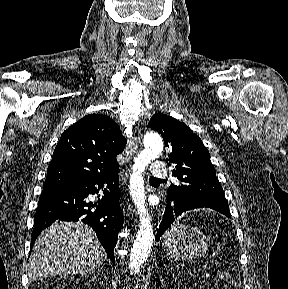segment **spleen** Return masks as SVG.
Segmentation results:
<instances>
[{
    "label": "spleen",
    "mask_w": 288,
    "mask_h": 289,
    "mask_svg": "<svg viewBox=\"0 0 288 289\" xmlns=\"http://www.w3.org/2000/svg\"><path fill=\"white\" fill-rule=\"evenodd\" d=\"M175 230H176V226L171 227V228L167 231L166 235H169V234L173 233Z\"/></svg>",
    "instance_id": "1"
}]
</instances>
